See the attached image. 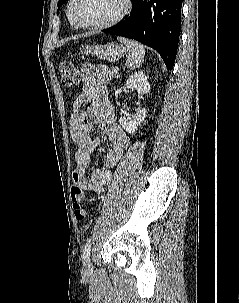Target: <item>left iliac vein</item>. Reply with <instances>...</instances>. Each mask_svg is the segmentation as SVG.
<instances>
[{
	"mask_svg": "<svg viewBox=\"0 0 239 303\" xmlns=\"http://www.w3.org/2000/svg\"><path fill=\"white\" fill-rule=\"evenodd\" d=\"M85 269H87V270H91L92 269V263H91L90 259H86V261H85Z\"/></svg>",
	"mask_w": 239,
	"mask_h": 303,
	"instance_id": "4c4485c4",
	"label": "left iliac vein"
}]
</instances>
